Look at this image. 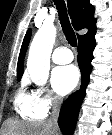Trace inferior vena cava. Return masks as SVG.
Here are the masks:
<instances>
[{"label":"inferior vena cava","instance_id":"obj_1","mask_svg":"<svg viewBox=\"0 0 112 135\" xmlns=\"http://www.w3.org/2000/svg\"><path fill=\"white\" fill-rule=\"evenodd\" d=\"M60 105H61V102L58 98L53 99L52 114H51L48 122L52 124V126L55 130L57 128V121H58L59 112H60Z\"/></svg>","mask_w":112,"mask_h":135}]
</instances>
